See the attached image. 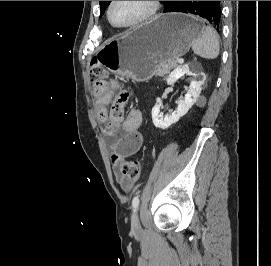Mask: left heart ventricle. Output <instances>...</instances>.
<instances>
[{
	"label": "left heart ventricle",
	"instance_id": "left-heart-ventricle-1",
	"mask_svg": "<svg viewBox=\"0 0 271 266\" xmlns=\"http://www.w3.org/2000/svg\"><path fill=\"white\" fill-rule=\"evenodd\" d=\"M147 10V1H115L111 9V17L114 23L126 25L138 20Z\"/></svg>",
	"mask_w": 271,
	"mask_h": 266
}]
</instances>
